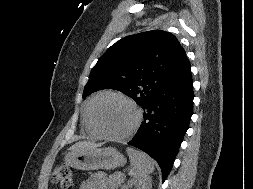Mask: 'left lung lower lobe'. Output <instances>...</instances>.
Masks as SVG:
<instances>
[{
  "label": "left lung lower lobe",
  "mask_w": 253,
  "mask_h": 189,
  "mask_svg": "<svg viewBox=\"0 0 253 189\" xmlns=\"http://www.w3.org/2000/svg\"><path fill=\"white\" fill-rule=\"evenodd\" d=\"M193 98L190 63L186 59L179 72L142 107L144 123L128 142L158 162L163 182L189 128Z\"/></svg>",
  "instance_id": "left-lung-lower-lobe-1"
}]
</instances>
